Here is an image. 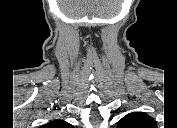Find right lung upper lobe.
<instances>
[{"instance_id":"1","label":"right lung upper lobe","mask_w":177,"mask_h":128,"mask_svg":"<svg viewBox=\"0 0 177 128\" xmlns=\"http://www.w3.org/2000/svg\"><path fill=\"white\" fill-rule=\"evenodd\" d=\"M43 128H72V125L63 120H54L44 125Z\"/></svg>"}]
</instances>
